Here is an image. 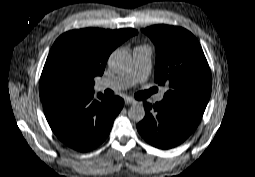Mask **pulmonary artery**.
<instances>
[{
    "instance_id": "obj_1",
    "label": "pulmonary artery",
    "mask_w": 255,
    "mask_h": 177,
    "mask_svg": "<svg viewBox=\"0 0 255 177\" xmlns=\"http://www.w3.org/2000/svg\"><path fill=\"white\" fill-rule=\"evenodd\" d=\"M151 72V51L147 46L136 47L133 50V65L123 74L104 79L96 85L98 91L105 89L122 90L127 89L137 83L145 81ZM164 94L160 93L157 101H162Z\"/></svg>"
}]
</instances>
